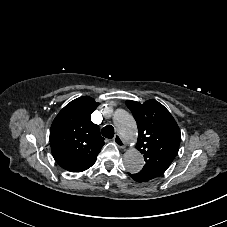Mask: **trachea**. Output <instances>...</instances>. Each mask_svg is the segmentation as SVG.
Returning a JSON list of instances; mask_svg holds the SVG:
<instances>
[{"label": "trachea", "instance_id": "3493384b", "mask_svg": "<svg viewBox=\"0 0 227 227\" xmlns=\"http://www.w3.org/2000/svg\"><path fill=\"white\" fill-rule=\"evenodd\" d=\"M101 134L108 139H112L114 137V128L112 125H107L101 130Z\"/></svg>", "mask_w": 227, "mask_h": 227}]
</instances>
